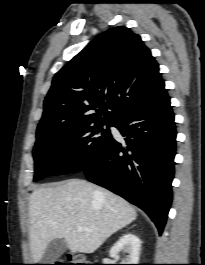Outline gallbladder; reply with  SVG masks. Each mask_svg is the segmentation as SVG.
Here are the masks:
<instances>
[{
  "label": "gallbladder",
  "instance_id": "bac80fb5",
  "mask_svg": "<svg viewBox=\"0 0 205 265\" xmlns=\"http://www.w3.org/2000/svg\"><path fill=\"white\" fill-rule=\"evenodd\" d=\"M67 249V243L63 239H53L45 249V252L42 256L43 264H52L59 257L64 254Z\"/></svg>",
  "mask_w": 205,
  "mask_h": 265
}]
</instances>
